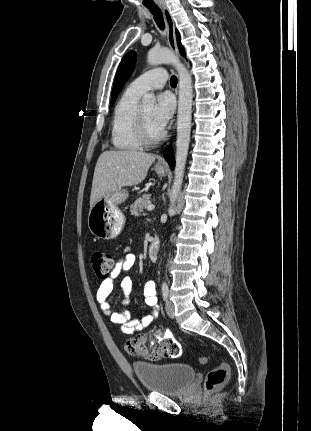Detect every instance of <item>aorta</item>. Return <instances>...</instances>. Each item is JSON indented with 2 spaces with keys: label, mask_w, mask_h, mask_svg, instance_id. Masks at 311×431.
<instances>
[{
  "label": "aorta",
  "mask_w": 311,
  "mask_h": 431,
  "mask_svg": "<svg viewBox=\"0 0 311 431\" xmlns=\"http://www.w3.org/2000/svg\"><path fill=\"white\" fill-rule=\"evenodd\" d=\"M149 66H158V64H172L175 66L179 76V102L177 116V140L176 156L174 168V180L170 194L169 216H174L176 202L179 192L182 188L185 164L188 156V148L191 132V114H192V80L184 64H179L171 50H149L147 54ZM156 102L154 94H145L141 102L143 108H153Z\"/></svg>",
  "instance_id": "aorta-1"
}]
</instances>
